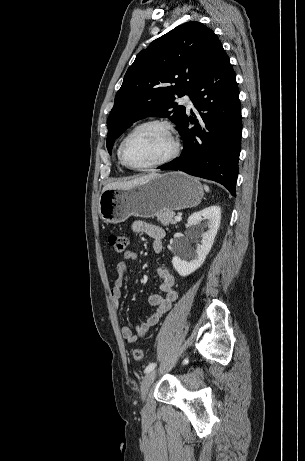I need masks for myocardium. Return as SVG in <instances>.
I'll return each mask as SVG.
<instances>
[{
	"instance_id": "1",
	"label": "myocardium",
	"mask_w": 305,
	"mask_h": 461,
	"mask_svg": "<svg viewBox=\"0 0 305 461\" xmlns=\"http://www.w3.org/2000/svg\"><path fill=\"white\" fill-rule=\"evenodd\" d=\"M150 126H157V127H160L162 128L163 130H165V132L168 134L171 142H172V149L171 151L169 152V154H167L164 158L156 161V162H153L151 164H147V165H135L133 163H131L127 157V154H126V146H127V143L128 141L130 140V138L136 134L139 130L143 129V128H146V127H150ZM180 153V141L178 139V136L175 132V129L173 128V126L165 121V120H159V119H152V120H147V121H144L140 124H138L137 126H135L125 137L124 139L122 140L121 142V145H120V155H121V159L123 161V163L131 168V169H134V170H139V171H146V170H151V169H155V168H158V167H161L169 162H171L172 160H174Z\"/></svg>"
}]
</instances>
